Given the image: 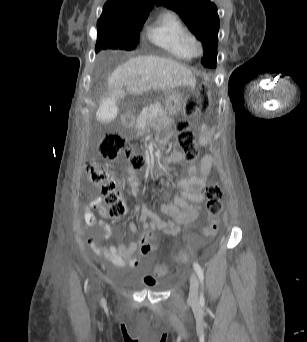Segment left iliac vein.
Instances as JSON below:
<instances>
[{
  "mask_svg": "<svg viewBox=\"0 0 307 342\" xmlns=\"http://www.w3.org/2000/svg\"><path fill=\"white\" fill-rule=\"evenodd\" d=\"M199 281L195 273L190 277L189 301L192 303L198 302Z\"/></svg>",
  "mask_w": 307,
  "mask_h": 342,
  "instance_id": "left-iliac-vein-1",
  "label": "left iliac vein"
}]
</instances>
